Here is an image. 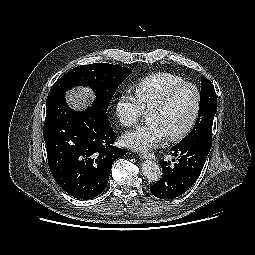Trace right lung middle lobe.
I'll return each instance as SVG.
<instances>
[{"instance_id":"1","label":"right lung middle lobe","mask_w":255,"mask_h":255,"mask_svg":"<svg viewBox=\"0 0 255 255\" xmlns=\"http://www.w3.org/2000/svg\"><path fill=\"white\" fill-rule=\"evenodd\" d=\"M132 69L108 63H93L75 67L64 74L51 88L47 102L58 94H65L75 86H89L96 99L91 106L97 114L107 120L110 101L122 81L131 74Z\"/></svg>"}]
</instances>
